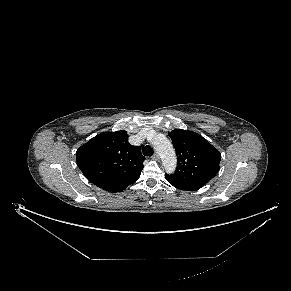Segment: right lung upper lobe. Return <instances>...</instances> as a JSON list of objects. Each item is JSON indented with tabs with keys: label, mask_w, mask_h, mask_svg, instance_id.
<instances>
[{
	"label": "right lung upper lobe",
	"mask_w": 291,
	"mask_h": 291,
	"mask_svg": "<svg viewBox=\"0 0 291 291\" xmlns=\"http://www.w3.org/2000/svg\"><path fill=\"white\" fill-rule=\"evenodd\" d=\"M77 165L94 185L120 192L136 182L144 157L139 146L128 143L125 130L98 134L76 152Z\"/></svg>",
	"instance_id": "cb5924a9"
}]
</instances>
